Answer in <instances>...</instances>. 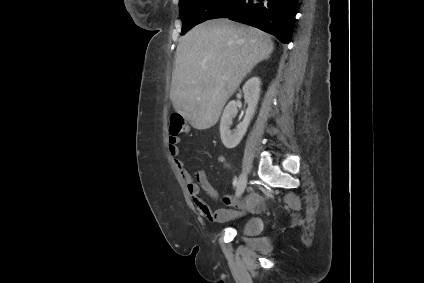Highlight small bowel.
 I'll return each mask as SVG.
<instances>
[{"instance_id": "obj_1", "label": "small bowel", "mask_w": 424, "mask_h": 283, "mask_svg": "<svg viewBox=\"0 0 424 283\" xmlns=\"http://www.w3.org/2000/svg\"><path fill=\"white\" fill-rule=\"evenodd\" d=\"M180 137L171 135L169 137V152L173 157H178L180 153L179 149ZM218 161L225 166L228 170H231L232 166L225 156L220 155ZM176 166L178 167L185 183L189 195L198 210V212L208 220L212 222H223L234 218L238 211L233 209L220 208L213 210L202 198L201 191H204L207 196L213 200H217L219 195L217 191L211 185L204 170L199 169L195 173H191L186 164L180 159H175ZM224 204L229 206H235L239 209L247 207L251 210H255L261 206V202L255 195H249L245 202L236 203L233 198L226 195L222 198Z\"/></svg>"}]
</instances>
